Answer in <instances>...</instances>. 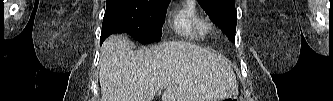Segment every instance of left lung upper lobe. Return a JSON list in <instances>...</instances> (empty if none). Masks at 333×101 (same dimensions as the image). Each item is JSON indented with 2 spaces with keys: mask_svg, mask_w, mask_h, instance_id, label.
<instances>
[{
  "mask_svg": "<svg viewBox=\"0 0 333 101\" xmlns=\"http://www.w3.org/2000/svg\"><path fill=\"white\" fill-rule=\"evenodd\" d=\"M198 2L211 20L234 42L237 20L234 0H198Z\"/></svg>",
  "mask_w": 333,
  "mask_h": 101,
  "instance_id": "obj_1",
  "label": "left lung upper lobe"
}]
</instances>
